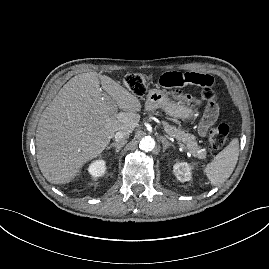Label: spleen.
Returning a JSON list of instances; mask_svg holds the SVG:
<instances>
[{
  "label": "spleen",
  "instance_id": "spleen-1",
  "mask_svg": "<svg viewBox=\"0 0 269 269\" xmlns=\"http://www.w3.org/2000/svg\"><path fill=\"white\" fill-rule=\"evenodd\" d=\"M239 156V140L232 139L228 146L219 152L204 172L213 186L224 183L233 173Z\"/></svg>",
  "mask_w": 269,
  "mask_h": 269
}]
</instances>
